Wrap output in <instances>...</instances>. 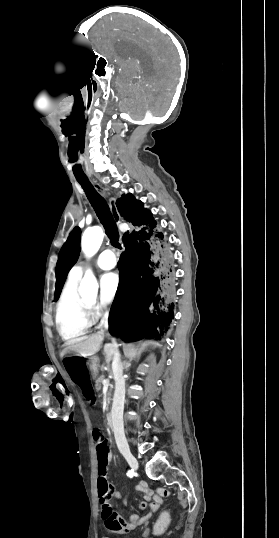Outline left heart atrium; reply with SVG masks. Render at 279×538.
I'll list each match as a JSON object with an SVG mask.
<instances>
[{
  "label": "left heart atrium",
  "instance_id": "39dd6f15",
  "mask_svg": "<svg viewBox=\"0 0 279 538\" xmlns=\"http://www.w3.org/2000/svg\"><path fill=\"white\" fill-rule=\"evenodd\" d=\"M120 285V277L116 272L106 273L101 278L102 297L105 301H110L116 295Z\"/></svg>",
  "mask_w": 279,
  "mask_h": 538
}]
</instances>
